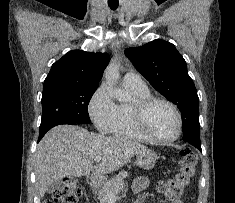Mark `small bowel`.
I'll list each match as a JSON object with an SVG mask.
<instances>
[{"instance_id":"obj_1","label":"small bowel","mask_w":235,"mask_h":203,"mask_svg":"<svg viewBox=\"0 0 235 203\" xmlns=\"http://www.w3.org/2000/svg\"><path fill=\"white\" fill-rule=\"evenodd\" d=\"M149 186V180L146 177H138L135 179L133 184V190L135 193H140L144 191ZM171 203H183L179 199H172Z\"/></svg>"}]
</instances>
